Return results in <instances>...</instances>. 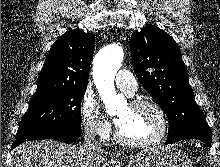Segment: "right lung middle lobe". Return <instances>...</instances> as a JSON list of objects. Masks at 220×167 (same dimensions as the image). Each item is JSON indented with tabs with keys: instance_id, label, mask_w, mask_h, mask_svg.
<instances>
[{
	"instance_id": "1",
	"label": "right lung middle lobe",
	"mask_w": 220,
	"mask_h": 167,
	"mask_svg": "<svg viewBox=\"0 0 220 167\" xmlns=\"http://www.w3.org/2000/svg\"><path fill=\"white\" fill-rule=\"evenodd\" d=\"M86 87H69L32 99L16 134L17 139L44 132L81 129V101Z\"/></svg>"
}]
</instances>
